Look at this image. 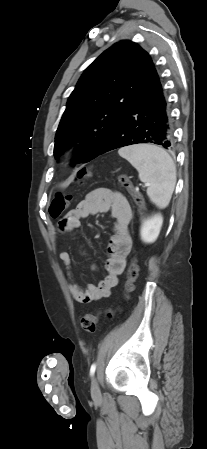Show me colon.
Listing matches in <instances>:
<instances>
[{
	"label": "colon",
	"mask_w": 207,
	"mask_h": 449,
	"mask_svg": "<svg viewBox=\"0 0 207 449\" xmlns=\"http://www.w3.org/2000/svg\"><path fill=\"white\" fill-rule=\"evenodd\" d=\"M89 174H90L89 169L82 168L77 173V180L82 181L83 179L87 178L89 176ZM117 180H118L119 185L127 190L128 194L132 197V199L134 200V202L138 206V208L140 210H142L144 207L143 197L133 187L130 179L126 175L121 174L118 176ZM72 199H73V196L71 194L58 193L55 196V198L53 199L51 206L49 208L51 217L54 219L59 218L65 212V210L69 207ZM138 271H139L138 262H137V259L134 258L131 261V264L128 268L127 281L125 284V290L127 293L132 291V289L134 287V282L138 277ZM105 315L108 318H113L115 316V312L111 309H108L105 311ZM98 319H99L98 314L84 315L80 321L82 330L86 334L94 333Z\"/></svg>",
	"instance_id": "5ec220e1"
}]
</instances>
